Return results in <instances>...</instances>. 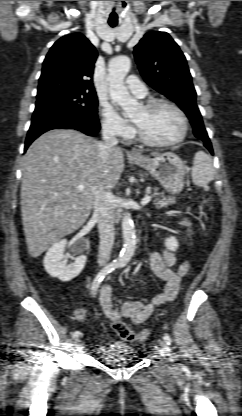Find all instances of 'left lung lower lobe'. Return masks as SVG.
<instances>
[{
  "label": "left lung lower lobe",
  "instance_id": "obj_1",
  "mask_svg": "<svg viewBox=\"0 0 242 416\" xmlns=\"http://www.w3.org/2000/svg\"><path fill=\"white\" fill-rule=\"evenodd\" d=\"M204 146L213 154V149L210 140L204 142Z\"/></svg>",
  "mask_w": 242,
  "mask_h": 416
}]
</instances>
